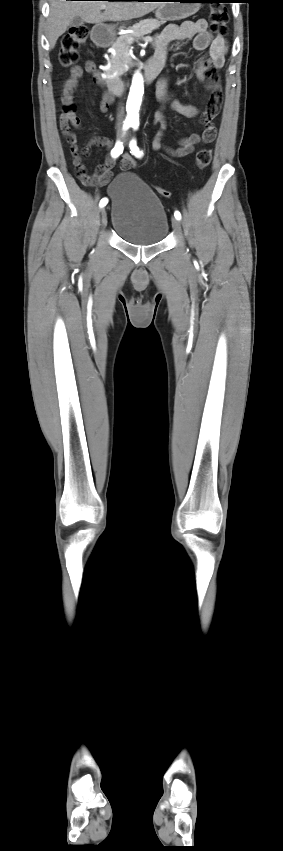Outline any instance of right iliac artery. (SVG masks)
<instances>
[{
	"label": "right iliac artery",
	"instance_id": "obj_1",
	"mask_svg": "<svg viewBox=\"0 0 283 851\" xmlns=\"http://www.w3.org/2000/svg\"><path fill=\"white\" fill-rule=\"evenodd\" d=\"M128 128H129V125H124V127H123V129H124V130H126V129H128ZM123 149H124V147H123L122 142L117 141V142H116V144H115V146H114V148H113V149H112V151H111V156H112L113 158H117L120 154H122ZM107 203H108V199H107V198H102V199H101V201H100L99 206H100V207H104Z\"/></svg>",
	"mask_w": 283,
	"mask_h": 851
}]
</instances>
